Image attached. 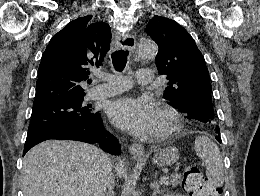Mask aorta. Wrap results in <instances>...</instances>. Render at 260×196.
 <instances>
[{"label":"aorta","mask_w":260,"mask_h":196,"mask_svg":"<svg viewBox=\"0 0 260 196\" xmlns=\"http://www.w3.org/2000/svg\"><path fill=\"white\" fill-rule=\"evenodd\" d=\"M138 53L144 58H153L158 53V47L155 42L146 40L138 44Z\"/></svg>","instance_id":"obj_1"}]
</instances>
